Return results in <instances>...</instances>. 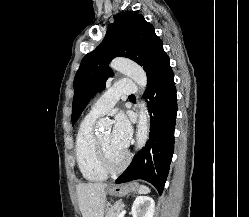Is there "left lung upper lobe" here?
Masks as SVG:
<instances>
[{"label": "left lung upper lobe", "mask_w": 249, "mask_h": 217, "mask_svg": "<svg viewBox=\"0 0 249 217\" xmlns=\"http://www.w3.org/2000/svg\"><path fill=\"white\" fill-rule=\"evenodd\" d=\"M130 58L143 67L148 82L168 57L154 27L141 14L119 13L110 24L102 43L83 58L74 79L72 125L90 99L105 88L112 76L108 63L115 57Z\"/></svg>", "instance_id": "left-lung-upper-lobe-1"}]
</instances>
